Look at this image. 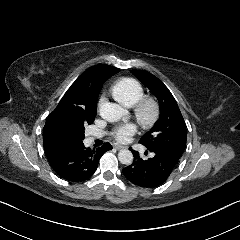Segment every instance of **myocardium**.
<instances>
[{"mask_svg":"<svg viewBox=\"0 0 240 240\" xmlns=\"http://www.w3.org/2000/svg\"><path fill=\"white\" fill-rule=\"evenodd\" d=\"M159 103L150 96L141 97L134 106V115L144 129L152 128L160 118Z\"/></svg>","mask_w":240,"mask_h":240,"instance_id":"f54148a6","label":"myocardium"}]
</instances>
